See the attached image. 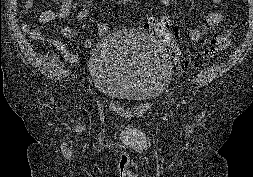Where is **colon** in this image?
<instances>
[{"mask_svg":"<svg viewBox=\"0 0 253 177\" xmlns=\"http://www.w3.org/2000/svg\"><path fill=\"white\" fill-rule=\"evenodd\" d=\"M135 0H113L110 8L112 17L124 13L127 9L135 5ZM146 28L152 34L161 39L169 48L175 62L181 70L190 68V63L183 59L182 49L178 42L177 31L173 28L171 22L166 18H158L154 15H147ZM233 35L231 32L216 34L213 38V47L211 54L220 53L232 44Z\"/></svg>","mask_w":253,"mask_h":177,"instance_id":"obj_1","label":"colon"}]
</instances>
